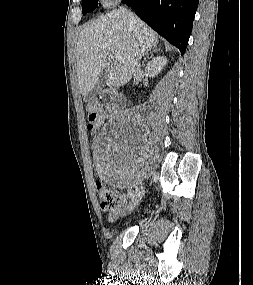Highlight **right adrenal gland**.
Instances as JSON below:
<instances>
[{"label": "right adrenal gland", "instance_id": "1", "mask_svg": "<svg viewBox=\"0 0 253 285\" xmlns=\"http://www.w3.org/2000/svg\"><path fill=\"white\" fill-rule=\"evenodd\" d=\"M158 51H160V49H158L157 47H152V48L149 50V52L146 53V57L144 58V61L142 62V65H143V66L145 65V62H146L148 56H149L151 53H153V52H158Z\"/></svg>", "mask_w": 253, "mask_h": 285}]
</instances>
